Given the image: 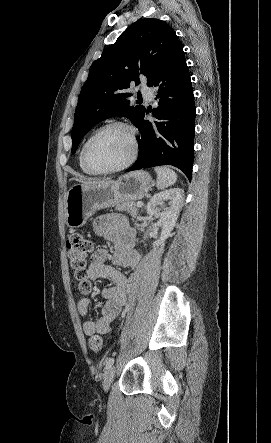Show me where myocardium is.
Segmentation results:
<instances>
[{"label": "myocardium", "instance_id": "f54148a6", "mask_svg": "<svg viewBox=\"0 0 271 443\" xmlns=\"http://www.w3.org/2000/svg\"><path fill=\"white\" fill-rule=\"evenodd\" d=\"M113 127H119V128H123L125 129L130 137L131 140V152L128 156V158L121 163L120 165H117L115 167H111V168H99L96 167L94 164H92V162L89 159V148L92 144V142L105 130L109 129V128H113ZM140 152V140H139V135L138 132L136 130V128L124 121H111L108 122L106 124H104L103 126L99 127L96 131H94L89 138L86 140L83 149H82V160L84 165L92 172L96 173V174H110V173H115L118 171H121L127 167H129L138 157Z\"/></svg>", "mask_w": 271, "mask_h": 443}]
</instances>
